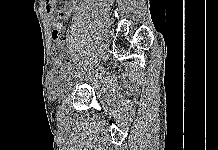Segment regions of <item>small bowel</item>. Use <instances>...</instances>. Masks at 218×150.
Segmentation results:
<instances>
[{"label":"small bowel","instance_id":"1","mask_svg":"<svg viewBox=\"0 0 218 150\" xmlns=\"http://www.w3.org/2000/svg\"><path fill=\"white\" fill-rule=\"evenodd\" d=\"M45 1H46V10L51 16L54 30L61 29L63 23L66 22L72 11L74 0H65L63 8L59 10L57 14H54V9L57 0H45Z\"/></svg>","mask_w":218,"mask_h":150}]
</instances>
